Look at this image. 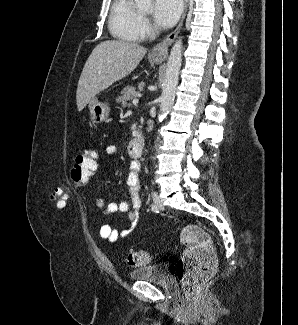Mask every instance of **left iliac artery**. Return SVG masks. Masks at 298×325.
<instances>
[{"instance_id":"left-iliac-artery-1","label":"left iliac artery","mask_w":298,"mask_h":325,"mask_svg":"<svg viewBox=\"0 0 298 325\" xmlns=\"http://www.w3.org/2000/svg\"><path fill=\"white\" fill-rule=\"evenodd\" d=\"M151 209H152V211H154V212H157V211H158V208H157V206H156L155 204H152V205H151Z\"/></svg>"}]
</instances>
